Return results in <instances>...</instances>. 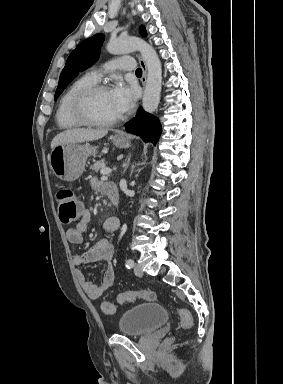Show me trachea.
I'll use <instances>...</instances> for the list:
<instances>
[{
  "label": "trachea",
  "mask_w": 283,
  "mask_h": 384,
  "mask_svg": "<svg viewBox=\"0 0 283 384\" xmlns=\"http://www.w3.org/2000/svg\"><path fill=\"white\" fill-rule=\"evenodd\" d=\"M135 74L136 75H142V69L141 68H137Z\"/></svg>",
  "instance_id": "obj_1"
}]
</instances>
